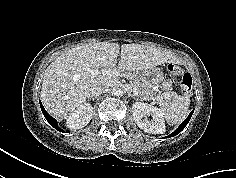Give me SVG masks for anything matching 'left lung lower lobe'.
I'll list each match as a JSON object with an SVG mask.
<instances>
[{
	"label": "left lung lower lobe",
	"instance_id": "1",
	"mask_svg": "<svg viewBox=\"0 0 236 178\" xmlns=\"http://www.w3.org/2000/svg\"><path fill=\"white\" fill-rule=\"evenodd\" d=\"M194 110L191 111V113L189 114V116L186 118V120L173 132L171 133L169 136H167L166 138L168 137H173V136H176L177 134H179L184 128L185 126L188 124L192 114H193Z\"/></svg>",
	"mask_w": 236,
	"mask_h": 178
}]
</instances>
